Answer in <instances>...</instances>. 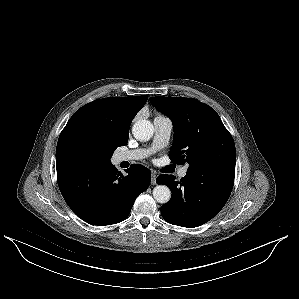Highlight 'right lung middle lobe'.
<instances>
[{
  "label": "right lung middle lobe",
  "instance_id": "obj_1",
  "mask_svg": "<svg viewBox=\"0 0 299 299\" xmlns=\"http://www.w3.org/2000/svg\"><path fill=\"white\" fill-rule=\"evenodd\" d=\"M121 145L96 130L66 138L61 143L62 153L72 161L89 164H108L113 151Z\"/></svg>",
  "mask_w": 299,
  "mask_h": 299
}]
</instances>
